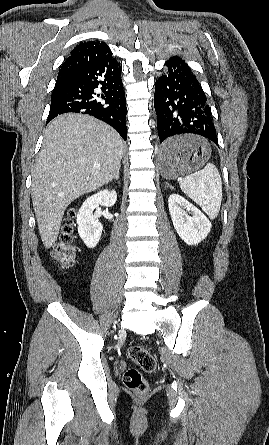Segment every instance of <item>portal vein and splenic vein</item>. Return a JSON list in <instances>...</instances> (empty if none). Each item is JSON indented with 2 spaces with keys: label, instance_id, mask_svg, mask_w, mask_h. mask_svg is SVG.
Returning a JSON list of instances; mask_svg holds the SVG:
<instances>
[{
  "label": "portal vein and splenic vein",
  "instance_id": "18ae733b",
  "mask_svg": "<svg viewBox=\"0 0 269 445\" xmlns=\"http://www.w3.org/2000/svg\"><path fill=\"white\" fill-rule=\"evenodd\" d=\"M94 168H96V169H97V168H99V166H98V165H95V166H94Z\"/></svg>",
  "mask_w": 269,
  "mask_h": 445
}]
</instances>
